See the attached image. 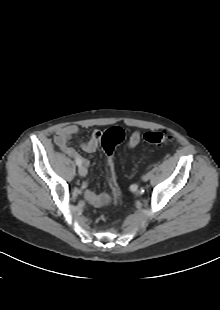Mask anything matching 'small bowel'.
<instances>
[{"label": "small bowel", "instance_id": "obj_1", "mask_svg": "<svg viewBox=\"0 0 220 310\" xmlns=\"http://www.w3.org/2000/svg\"><path fill=\"white\" fill-rule=\"evenodd\" d=\"M79 133V127L76 125H67L59 129L55 135L56 145L69 157L77 159L79 158L84 166L89 165V161L83 158L73 147L70 146V140ZM101 132L94 130L89 139L80 143L81 149L86 153H93L97 150L100 142ZM141 136L138 131L132 132L128 137L127 145L129 148H135L140 142ZM87 188V184H84ZM85 198L89 204L101 207L108 203L109 196L105 193H95L90 190H86Z\"/></svg>", "mask_w": 220, "mask_h": 310}]
</instances>
